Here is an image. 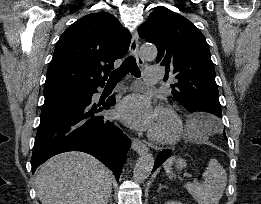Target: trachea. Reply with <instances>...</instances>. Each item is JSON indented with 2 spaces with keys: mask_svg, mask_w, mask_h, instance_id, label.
I'll use <instances>...</instances> for the list:
<instances>
[{
  "mask_svg": "<svg viewBox=\"0 0 261 204\" xmlns=\"http://www.w3.org/2000/svg\"><path fill=\"white\" fill-rule=\"evenodd\" d=\"M129 72L135 77L141 76L140 69L133 56L126 58L122 65L110 74L108 84H117Z\"/></svg>",
  "mask_w": 261,
  "mask_h": 204,
  "instance_id": "3493384b",
  "label": "trachea"
}]
</instances>
